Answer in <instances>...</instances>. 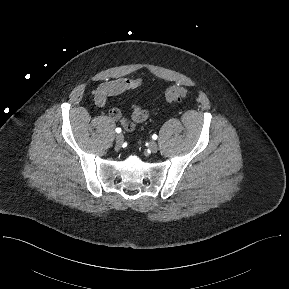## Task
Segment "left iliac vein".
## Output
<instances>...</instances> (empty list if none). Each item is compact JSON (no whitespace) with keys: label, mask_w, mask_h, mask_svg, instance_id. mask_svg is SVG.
<instances>
[{"label":"left iliac vein","mask_w":289,"mask_h":289,"mask_svg":"<svg viewBox=\"0 0 289 289\" xmlns=\"http://www.w3.org/2000/svg\"><path fill=\"white\" fill-rule=\"evenodd\" d=\"M149 149L152 153H156L158 151V145L155 141H151L149 143Z\"/></svg>","instance_id":"1"}]
</instances>
